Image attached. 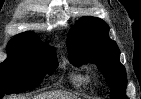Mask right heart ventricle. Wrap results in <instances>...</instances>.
<instances>
[{
	"label": "right heart ventricle",
	"mask_w": 141,
	"mask_h": 99,
	"mask_svg": "<svg viewBox=\"0 0 141 99\" xmlns=\"http://www.w3.org/2000/svg\"><path fill=\"white\" fill-rule=\"evenodd\" d=\"M70 80L76 87H84L89 82V76L85 73L74 72L70 76Z\"/></svg>",
	"instance_id": "obj_1"
}]
</instances>
